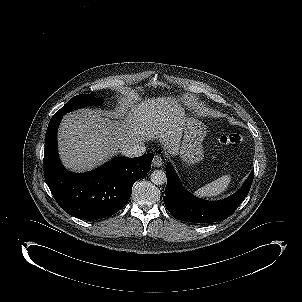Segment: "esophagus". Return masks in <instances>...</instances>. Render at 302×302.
Here are the masks:
<instances>
[{"label": "esophagus", "instance_id": "34e87169", "mask_svg": "<svg viewBox=\"0 0 302 302\" xmlns=\"http://www.w3.org/2000/svg\"><path fill=\"white\" fill-rule=\"evenodd\" d=\"M153 167H161L163 165V159L160 155H156L152 161Z\"/></svg>", "mask_w": 302, "mask_h": 302}]
</instances>
